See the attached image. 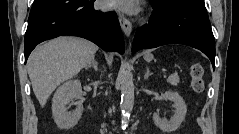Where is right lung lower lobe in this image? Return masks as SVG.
I'll use <instances>...</instances> for the list:
<instances>
[{"mask_svg": "<svg viewBox=\"0 0 239 134\" xmlns=\"http://www.w3.org/2000/svg\"><path fill=\"white\" fill-rule=\"evenodd\" d=\"M95 0H35L25 34V63L35 46L62 35L88 39L103 50L125 51L115 12L94 9Z\"/></svg>", "mask_w": 239, "mask_h": 134, "instance_id": "98d812e1", "label": "right lung lower lobe"}]
</instances>
